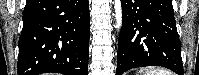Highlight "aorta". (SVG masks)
Listing matches in <instances>:
<instances>
[{"instance_id":"obj_1","label":"aorta","mask_w":199,"mask_h":75,"mask_svg":"<svg viewBox=\"0 0 199 75\" xmlns=\"http://www.w3.org/2000/svg\"><path fill=\"white\" fill-rule=\"evenodd\" d=\"M114 9H115L116 27L119 30L122 26V7L120 0H114Z\"/></svg>"}]
</instances>
